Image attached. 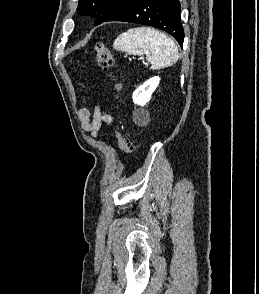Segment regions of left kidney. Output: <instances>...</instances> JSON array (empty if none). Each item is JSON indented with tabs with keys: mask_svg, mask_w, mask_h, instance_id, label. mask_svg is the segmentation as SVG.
Returning <instances> with one entry per match:
<instances>
[{
	"mask_svg": "<svg viewBox=\"0 0 259 294\" xmlns=\"http://www.w3.org/2000/svg\"><path fill=\"white\" fill-rule=\"evenodd\" d=\"M159 82V77H153L139 86L132 95L133 102L141 107L145 106L150 101L151 95L158 87ZM137 115L138 113H135V118Z\"/></svg>",
	"mask_w": 259,
	"mask_h": 294,
	"instance_id": "1",
	"label": "left kidney"
}]
</instances>
